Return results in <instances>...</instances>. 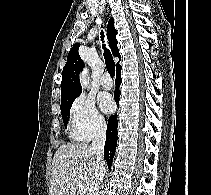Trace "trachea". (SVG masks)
Wrapping results in <instances>:
<instances>
[{"instance_id": "1", "label": "trachea", "mask_w": 211, "mask_h": 195, "mask_svg": "<svg viewBox=\"0 0 211 195\" xmlns=\"http://www.w3.org/2000/svg\"><path fill=\"white\" fill-rule=\"evenodd\" d=\"M101 38L102 39L104 38L103 31L101 32ZM103 49H104V59H105L107 71L109 72V74L111 76H114L115 75V63H114L113 57H112L110 51L105 47L104 44H103Z\"/></svg>"}]
</instances>
